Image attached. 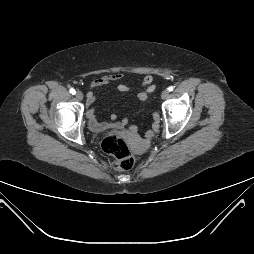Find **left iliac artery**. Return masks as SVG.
<instances>
[{"instance_id":"left-iliac-artery-1","label":"left iliac artery","mask_w":254,"mask_h":254,"mask_svg":"<svg viewBox=\"0 0 254 254\" xmlns=\"http://www.w3.org/2000/svg\"><path fill=\"white\" fill-rule=\"evenodd\" d=\"M173 86H170L169 88H168V90L171 92V91H173Z\"/></svg>"}]
</instances>
